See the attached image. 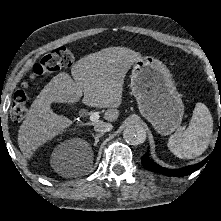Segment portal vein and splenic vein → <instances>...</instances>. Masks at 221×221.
<instances>
[{"label":"portal vein and splenic vein","instance_id":"obj_1","mask_svg":"<svg viewBox=\"0 0 221 221\" xmlns=\"http://www.w3.org/2000/svg\"><path fill=\"white\" fill-rule=\"evenodd\" d=\"M99 113L98 112H93L90 114V117L89 119L92 121V122H95V121H98L99 119Z\"/></svg>","mask_w":221,"mask_h":221}]
</instances>
